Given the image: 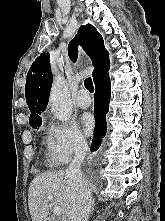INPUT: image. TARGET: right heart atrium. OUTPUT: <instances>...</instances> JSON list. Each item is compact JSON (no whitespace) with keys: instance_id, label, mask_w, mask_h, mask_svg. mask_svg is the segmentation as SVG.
Returning <instances> with one entry per match:
<instances>
[{"instance_id":"1","label":"right heart atrium","mask_w":165,"mask_h":221,"mask_svg":"<svg viewBox=\"0 0 165 221\" xmlns=\"http://www.w3.org/2000/svg\"><path fill=\"white\" fill-rule=\"evenodd\" d=\"M48 153L52 161L66 163L87 149V140L73 124L52 122L48 131Z\"/></svg>"}]
</instances>
